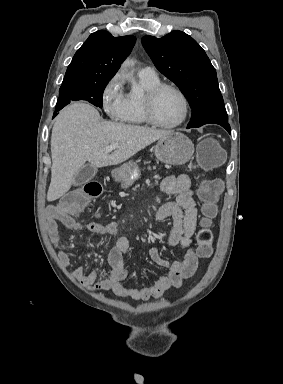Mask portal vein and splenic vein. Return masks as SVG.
Wrapping results in <instances>:
<instances>
[{
    "mask_svg": "<svg viewBox=\"0 0 283 384\" xmlns=\"http://www.w3.org/2000/svg\"><path fill=\"white\" fill-rule=\"evenodd\" d=\"M119 144H109V146H105L103 148L104 152H112V150H116L118 148Z\"/></svg>",
    "mask_w": 283,
    "mask_h": 384,
    "instance_id": "portal-vein-and-splenic-vein-1",
    "label": "portal vein and splenic vein"
}]
</instances>
